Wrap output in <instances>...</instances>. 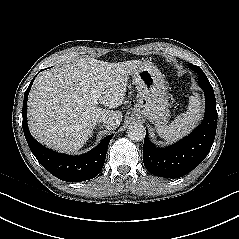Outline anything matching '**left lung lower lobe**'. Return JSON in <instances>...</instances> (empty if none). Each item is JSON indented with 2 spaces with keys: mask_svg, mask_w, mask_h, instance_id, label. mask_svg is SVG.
I'll list each match as a JSON object with an SVG mask.
<instances>
[{
  "mask_svg": "<svg viewBox=\"0 0 239 239\" xmlns=\"http://www.w3.org/2000/svg\"><path fill=\"white\" fill-rule=\"evenodd\" d=\"M205 93V116L201 124L187 137L166 148H156L147 132L143 146V162L153 175L179 178L197 167L209 153L217 128L216 100L209 81L199 80Z\"/></svg>",
  "mask_w": 239,
  "mask_h": 239,
  "instance_id": "1",
  "label": "left lung lower lobe"
}]
</instances>
